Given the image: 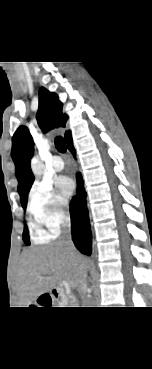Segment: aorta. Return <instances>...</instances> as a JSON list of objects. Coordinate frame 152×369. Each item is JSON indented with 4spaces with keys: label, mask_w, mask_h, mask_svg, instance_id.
Returning <instances> with one entry per match:
<instances>
[{
    "label": "aorta",
    "mask_w": 152,
    "mask_h": 369,
    "mask_svg": "<svg viewBox=\"0 0 152 369\" xmlns=\"http://www.w3.org/2000/svg\"><path fill=\"white\" fill-rule=\"evenodd\" d=\"M31 169L36 177H40L43 173L44 166L38 158L34 157L31 161Z\"/></svg>",
    "instance_id": "obj_1"
}]
</instances>
